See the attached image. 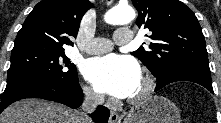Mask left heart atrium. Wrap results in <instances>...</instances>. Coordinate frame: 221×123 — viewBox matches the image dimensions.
<instances>
[{"label": "left heart atrium", "instance_id": "obj_1", "mask_svg": "<svg viewBox=\"0 0 221 123\" xmlns=\"http://www.w3.org/2000/svg\"><path fill=\"white\" fill-rule=\"evenodd\" d=\"M83 75L98 92L118 98L129 97L140 81L137 62L131 57L117 54L87 60Z\"/></svg>", "mask_w": 221, "mask_h": 123}]
</instances>
